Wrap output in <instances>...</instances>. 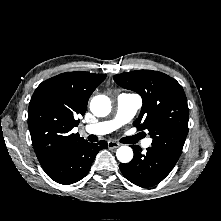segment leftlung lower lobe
Instances as JSON below:
<instances>
[{
  "mask_svg": "<svg viewBox=\"0 0 221 221\" xmlns=\"http://www.w3.org/2000/svg\"><path fill=\"white\" fill-rule=\"evenodd\" d=\"M134 157L128 164H120V170L133 184L140 187H150L161 182L173 169L179 156L167 150L149 147L146 154H141L139 146H131Z\"/></svg>",
  "mask_w": 221,
  "mask_h": 221,
  "instance_id": "0a47b994",
  "label": "left lung lower lobe"
}]
</instances>
